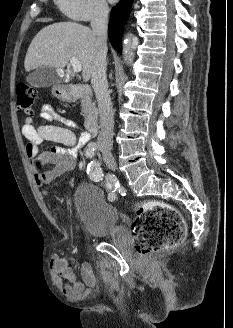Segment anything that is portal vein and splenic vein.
Masks as SVG:
<instances>
[{
	"instance_id": "obj_1",
	"label": "portal vein and splenic vein",
	"mask_w": 233,
	"mask_h": 328,
	"mask_svg": "<svg viewBox=\"0 0 233 328\" xmlns=\"http://www.w3.org/2000/svg\"><path fill=\"white\" fill-rule=\"evenodd\" d=\"M70 63L72 65V69L75 73L81 72L82 66L76 57H71Z\"/></svg>"
}]
</instances>
